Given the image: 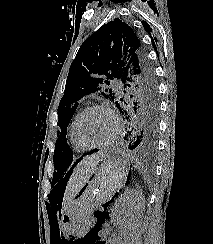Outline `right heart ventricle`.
I'll use <instances>...</instances> for the list:
<instances>
[{
    "mask_svg": "<svg viewBox=\"0 0 213 244\" xmlns=\"http://www.w3.org/2000/svg\"><path fill=\"white\" fill-rule=\"evenodd\" d=\"M79 113H77L75 115V117L73 118V120L71 121L69 127H68V137H69V142L71 147L73 148L74 151L78 152V153H82L88 150V148H86L85 146H83L76 138L75 134H74V125H75V121L78 117Z\"/></svg>",
    "mask_w": 213,
    "mask_h": 244,
    "instance_id": "e07e8e85",
    "label": "right heart ventricle"
}]
</instances>
